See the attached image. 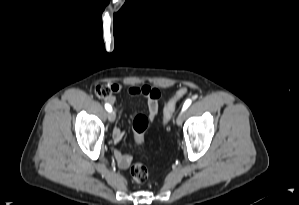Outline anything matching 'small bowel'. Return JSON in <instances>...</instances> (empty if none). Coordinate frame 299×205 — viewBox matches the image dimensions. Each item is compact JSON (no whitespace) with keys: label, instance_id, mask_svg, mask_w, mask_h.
<instances>
[{"label":"small bowel","instance_id":"obj_1","mask_svg":"<svg viewBox=\"0 0 299 205\" xmlns=\"http://www.w3.org/2000/svg\"><path fill=\"white\" fill-rule=\"evenodd\" d=\"M114 91L117 92L121 89L119 84H113ZM128 93L132 96H144L147 99V109L144 114L149 121H152L159 110V100L161 97L160 90L156 87H151L148 85L143 86H131L128 89ZM113 102V99L111 100ZM124 137V131L120 127H116L113 131V139L117 147L114 150V157L118 166L121 169H127L132 163V157L125 154L119 144L121 143Z\"/></svg>","mask_w":299,"mask_h":205}]
</instances>
